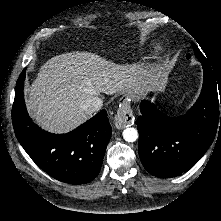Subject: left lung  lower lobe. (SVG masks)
<instances>
[{
  "label": "left lung lower lobe",
  "mask_w": 221,
  "mask_h": 221,
  "mask_svg": "<svg viewBox=\"0 0 221 221\" xmlns=\"http://www.w3.org/2000/svg\"><path fill=\"white\" fill-rule=\"evenodd\" d=\"M202 66L201 94L185 115L167 116L149 101L140 105L142 115L136 121L139 156L145 169L154 176L170 178L188 171L221 129V84L208 62H202Z\"/></svg>",
  "instance_id": "obj_1"
}]
</instances>
